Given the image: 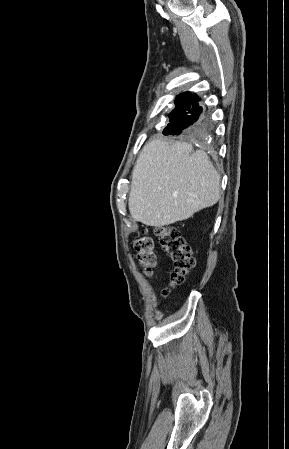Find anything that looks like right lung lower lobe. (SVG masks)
Here are the masks:
<instances>
[{
    "label": "right lung lower lobe",
    "instance_id": "obj_1",
    "mask_svg": "<svg viewBox=\"0 0 289 449\" xmlns=\"http://www.w3.org/2000/svg\"><path fill=\"white\" fill-rule=\"evenodd\" d=\"M198 100V96L190 92L181 93L176 97L175 109L171 112L172 116L168 124L171 134L186 136L207 129L208 120L203 116Z\"/></svg>",
    "mask_w": 289,
    "mask_h": 449
}]
</instances>
